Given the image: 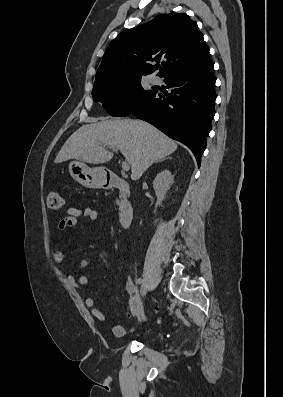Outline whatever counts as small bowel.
<instances>
[{
	"instance_id": "c3829d8e",
	"label": "small bowel",
	"mask_w": 283,
	"mask_h": 397,
	"mask_svg": "<svg viewBox=\"0 0 283 397\" xmlns=\"http://www.w3.org/2000/svg\"><path fill=\"white\" fill-rule=\"evenodd\" d=\"M84 218L90 221H98L100 215L98 211L91 207L87 206H79V207H69L65 210V215L61 218L57 225H56V232L60 233L67 229L73 228L76 226L78 219ZM51 256L54 262L61 263L64 260V253L62 249L56 245L52 249ZM89 266V261L87 259H82L78 263V267L81 269L87 268ZM68 283L76 288L81 289L83 286L89 284L90 279L86 275H81L76 277L75 275H68L67 276ZM126 290L129 294L132 295V298L129 303V308L127 311L128 316H137L141 319V321L146 320L145 313L143 311L142 303L139 297L136 295L137 293V286L134 283L131 277H128L126 282ZM85 305L93 317L98 319L101 322H107V317L96 307V301L93 297H87L85 299ZM112 332L116 337H123L126 333V329L122 324H113L111 326Z\"/></svg>"
}]
</instances>
